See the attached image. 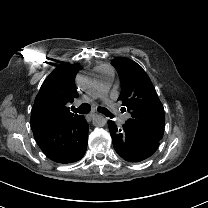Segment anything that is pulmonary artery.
Segmentation results:
<instances>
[{
	"instance_id": "e3ab8cb5",
	"label": "pulmonary artery",
	"mask_w": 208,
	"mask_h": 208,
	"mask_svg": "<svg viewBox=\"0 0 208 208\" xmlns=\"http://www.w3.org/2000/svg\"><path fill=\"white\" fill-rule=\"evenodd\" d=\"M94 74L96 77L94 84L89 89L87 95L75 99V106L78 108L87 106L91 102L90 98L100 96V98L107 104L109 109L114 112L116 119L119 120V123H124L128 116H123V114L119 112L113 103L110 102L107 96L104 95L109 88V80L113 77V68L110 65L97 66L94 68Z\"/></svg>"
}]
</instances>
